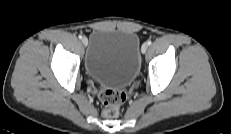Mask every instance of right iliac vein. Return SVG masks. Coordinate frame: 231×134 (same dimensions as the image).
<instances>
[{
	"instance_id": "1",
	"label": "right iliac vein",
	"mask_w": 231,
	"mask_h": 134,
	"mask_svg": "<svg viewBox=\"0 0 231 134\" xmlns=\"http://www.w3.org/2000/svg\"><path fill=\"white\" fill-rule=\"evenodd\" d=\"M82 43H83L84 46H87L88 40H87L86 37H83V38H82Z\"/></svg>"
}]
</instances>
